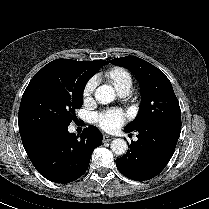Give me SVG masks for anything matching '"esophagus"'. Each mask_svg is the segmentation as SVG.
Masks as SVG:
<instances>
[{"label":"esophagus","instance_id":"esophagus-1","mask_svg":"<svg viewBox=\"0 0 209 209\" xmlns=\"http://www.w3.org/2000/svg\"><path fill=\"white\" fill-rule=\"evenodd\" d=\"M113 139H114V137H112V136H109V135H106V134L103 135V142H109Z\"/></svg>","mask_w":209,"mask_h":209}]
</instances>
